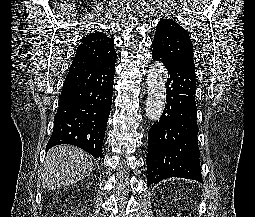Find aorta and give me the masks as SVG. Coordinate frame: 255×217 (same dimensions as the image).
I'll list each match as a JSON object with an SVG mask.
<instances>
[{
	"label": "aorta",
	"instance_id": "obj_1",
	"mask_svg": "<svg viewBox=\"0 0 255 217\" xmlns=\"http://www.w3.org/2000/svg\"><path fill=\"white\" fill-rule=\"evenodd\" d=\"M167 71L162 63H154L147 75L146 116L151 121L160 118L166 101Z\"/></svg>",
	"mask_w": 255,
	"mask_h": 217
}]
</instances>
